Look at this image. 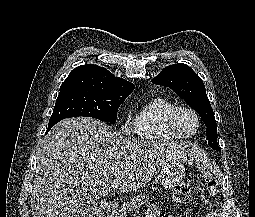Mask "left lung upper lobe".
<instances>
[{"instance_id":"5c2ea615","label":"left lung upper lobe","mask_w":255,"mask_h":217,"mask_svg":"<svg viewBox=\"0 0 255 217\" xmlns=\"http://www.w3.org/2000/svg\"><path fill=\"white\" fill-rule=\"evenodd\" d=\"M152 82L171 88L184 98L202 118L207 127V140L211 148L221 151L217 144V126L213 109L206 95L202 79L186 64L177 63L164 68Z\"/></svg>"}]
</instances>
